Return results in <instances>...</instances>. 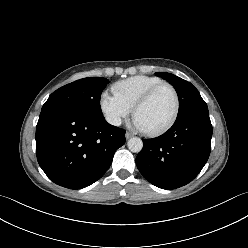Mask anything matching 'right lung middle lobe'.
<instances>
[{"instance_id": "dd1d6c3e", "label": "right lung middle lobe", "mask_w": 248, "mask_h": 248, "mask_svg": "<svg viewBox=\"0 0 248 248\" xmlns=\"http://www.w3.org/2000/svg\"><path fill=\"white\" fill-rule=\"evenodd\" d=\"M109 80L101 77H88L76 80L53 92L42 110L57 106H72L95 115L103 116L100 97Z\"/></svg>"}]
</instances>
